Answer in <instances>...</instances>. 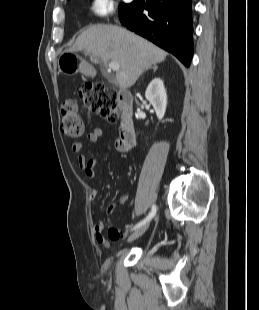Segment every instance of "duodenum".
Instances as JSON below:
<instances>
[{
  "instance_id": "obj_1",
  "label": "duodenum",
  "mask_w": 259,
  "mask_h": 310,
  "mask_svg": "<svg viewBox=\"0 0 259 310\" xmlns=\"http://www.w3.org/2000/svg\"><path fill=\"white\" fill-rule=\"evenodd\" d=\"M119 100L122 105L119 146L121 150L128 151L135 144L134 126L132 121V97L128 92H121Z\"/></svg>"
}]
</instances>
